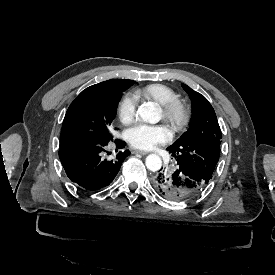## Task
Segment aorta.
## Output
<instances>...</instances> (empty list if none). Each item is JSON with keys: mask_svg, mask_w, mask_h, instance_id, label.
<instances>
[{"mask_svg": "<svg viewBox=\"0 0 275 275\" xmlns=\"http://www.w3.org/2000/svg\"><path fill=\"white\" fill-rule=\"evenodd\" d=\"M137 114L144 122L155 124L161 120L162 110L159 106L148 102L138 108ZM145 163L146 167L152 172L160 170L162 166V160L157 154H149Z\"/></svg>", "mask_w": 275, "mask_h": 275, "instance_id": "obj_1", "label": "aorta"}]
</instances>
